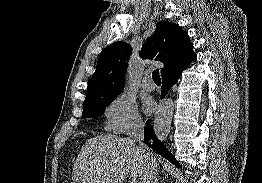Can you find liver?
Returning a JSON list of instances; mask_svg holds the SVG:
<instances>
[{
	"instance_id": "obj_1",
	"label": "liver",
	"mask_w": 262,
	"mask_h": 183,
	"mask_svg": "<svg viewBox=\"0 0 262 183\" xmlns=\"http://www.w3.org/2000/svg\"><path fill=\"white\" fill-rule=\"evenodd\" d=\"M142 158L130 138L97 135L82 146L73 166V183H118L140 176Z\"/></svg>"
}]
</instances>
